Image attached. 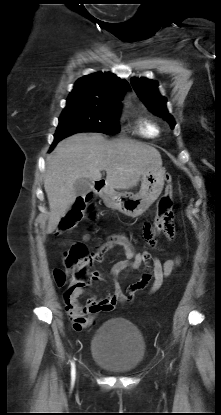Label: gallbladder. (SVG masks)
Returning a JSON list of instances; mask_svg holds the SVG:
<instances>
[{
    "label": "gallbladder",
    "instance_id": "bac80fb5",
    "mask_svg": "<svg viewBox=\"0 0 221 415\" xmlns=\"http://www.w3.org/2000/svg\"><path fill=\"white\" fill-rule=\"evenodd\" d=\"M73 188L76 195H85L92 189V180L79 178L75 181Z\"/></svg>",
    "mask_w": 221,
    "mask_h": 415
}]
</instances>
